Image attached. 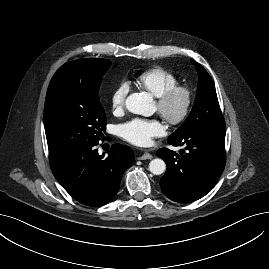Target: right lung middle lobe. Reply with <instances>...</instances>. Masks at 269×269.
Masks as SVG:
<instances>
[{
    "label": "right lung middle lobe",
    "instance_id": "obj_1",
    "mask_svg": "<svg viewBox=\"0 0 269 269\" xmlns=\"http://www.w3.org/2000/svg\"><path fill=\"white\" fill-rule=\"evenodd\" d=\"M110 66L106 59L74 60L51 79L44 106L50 157L100 140L107 119L98 92Z\"/></svg>",
    "mask_w": 269,
    "mask_h": 269
}]
</instances>
